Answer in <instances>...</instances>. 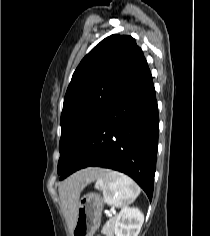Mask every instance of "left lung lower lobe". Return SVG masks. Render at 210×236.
<instances>
[{"instance_id":"1","label":"left lung lower lobe","mask_w":210,"mask_h":236,"mask_svg":"<svg viewBox=\"0 0 210 236\" xmlns=\"http://www.w3.org/2000/svg\"><path fill=\"white\" fill-rule=\"evenodd\" d=\"M158 131L155 89L147 66L97 117L60 180L89 166L110 168L133 178L151 201Z\"/></svg>"}]
</instances>
